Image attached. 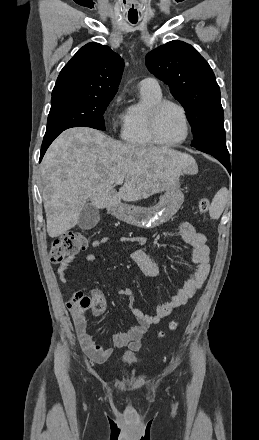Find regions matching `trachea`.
<instances>
[{"instance_id": "3493384b", "label": "trachea", "mask_w": 259, "mask_h": 440, "mask_svg": "<svg viewBox=\"0 0 259 440\" xmlns=\"http://www.w3.org/2000/svg\"><path fill=\"white\" fill-rule=\"evenodd\" d=\"M129 21L133 24L137 23V19H129Z\"/></svg>"}]
</instances>
